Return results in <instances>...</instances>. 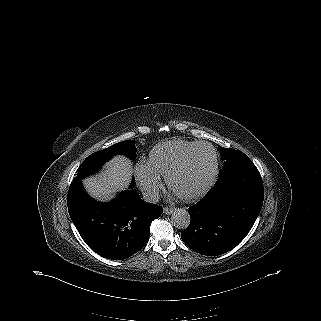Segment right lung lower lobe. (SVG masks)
<instances>
[{"label": "right lung lower lobe", "mask_w": 321, "mask_h": 321, "mask_svg": "<svg viewBox=\"0 0 321 321\" xmlns=\"http://www.w3.org/2000/svg\"><path fill=\"white\" fill-rule=\"evenodd\" d=\"M67 201L70 217L85 243L112 260L128 258L142 249L149 239L151 222L163 210L143 201L133 190L119 193L111 202H98L76 179Z\"/></svg>", "instance_id": "1"}]
</instances>
